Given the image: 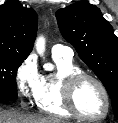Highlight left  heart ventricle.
Returning <instances> with one entry per match:
<instances>
[{"label": "left heart ventricle", "mask_w": 118, "mask_h": 123, "mask_svg": "<svg viewBox=\"0 0 118 123\" xmlns=\"http://www.w3.org/2000/svg\"><path fill=\"white\" fill-rule=\"evenodd\" d=\"M75 102L79 110L90 117L104 113L106 104L100 88L87 79L78 84L75 92Z\"/></svg>", "instance_id": "obj_1"}]
</instances>
